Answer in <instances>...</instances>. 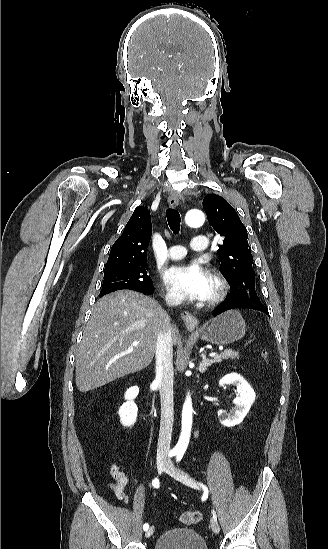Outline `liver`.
I'll list each match as a JSON object with an SVG mask.
<instances>
[{"label":"liver","mask_w":328,"mask_h":549,"mask_svg":"<svg viewBox=\"0 0 328 549\" xmlns=\"http://www.w3.org/2000/svg\"><path fill=\"white\" fill-rule=\"evenodd\" d=\"M179 331L161 305L135 291H117L94 305L76 355V387L81 393L148 367L159 333ZM133 341H139L132 347Z\"/></svg>","instance_id":"obj_1"}]
</instances>
